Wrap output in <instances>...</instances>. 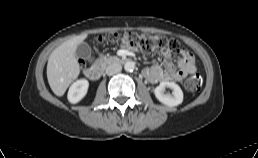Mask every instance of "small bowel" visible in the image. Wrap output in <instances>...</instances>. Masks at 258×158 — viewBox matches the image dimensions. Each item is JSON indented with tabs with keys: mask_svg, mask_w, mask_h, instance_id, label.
<instances>
[{
	"mask_svg": "<svg viewBox=\"0 0 258 158\" xmlns=\"http://www.w3.org/2000/svg\"><path fill=\"white\" fill-rule=\"evenodd\" d=\"M161 64H155L149 69L144 70V75L152 83L162 81L179 82L182 81L187 75L196 72V65L194 57L190 51L183 48L181 58L174 66L170 62V53L162 52L160 56Z\"/></svg>",
	"mask_w": 258,
	"mask_h": 158,
	"instance_id": "1",
	"label": "small bowel"
}]
</instances>
